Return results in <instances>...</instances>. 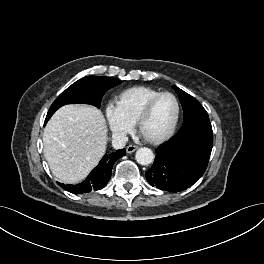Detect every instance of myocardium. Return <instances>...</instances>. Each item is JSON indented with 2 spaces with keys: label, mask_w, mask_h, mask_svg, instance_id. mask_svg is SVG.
I'll return each instance as SVG.
<instances>
[{
  "label": "myocardium",
  "mask_w": 264,
  "mask_h": 264,
  "mask_svg": "<svg viewBox=\"0 0 264 264\" xmlns=\"http://www.w3.org/2000/svg\"><path fill=\"white\" fill-rule=\"evenodd\" d=\"M171 96L175 102L176 105V113H175V117L174 120L170 126V128L163 133L160 136L157 137H146L144 135H142L141 133V128L143 123L146 121V119L149 117L155 103L157 102V100L163 96ZM179 117H180V103L178 98L176 97L175 94H173L172 92H168V91H164V92H160L158 94H156L155 96H153L152 98H150L147 103L145 104V106L143 107V109L141 110L140 114L137 117V120L135 122L136 124V129L138 131V133L149 143L151 144H160L165 142L166 140H168L175 132L178 122H179Z\"/></svg>",
  "instance_id": "f54148a6"
}]
</instances>
